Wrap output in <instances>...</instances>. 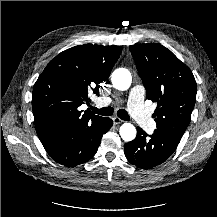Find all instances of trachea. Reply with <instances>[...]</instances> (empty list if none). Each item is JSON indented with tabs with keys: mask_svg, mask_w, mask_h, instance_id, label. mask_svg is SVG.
Here are the masks:
<instances>
[{
	"mask_svg": "<svg viewBox=\"0 0 217 217\" xmlns=\"http://www.w3.org/2000/svg\"><path fill=\"white\" fill-rule=\"evenodd\" d=\"M91 110L98 114V115H102V116H111L114 112L113 107L108 106V107H104L101 109H98L96 107H91ZM117 116L124 120V121H129L130 120V116L128 115V113L124 110V109H120L117 111Z\"/></svg>",
	"mask_w": 217,
	"mask_h": 217,
	"instance_id": "obj_1",
	"label": "trachea"
}]
</instances>
